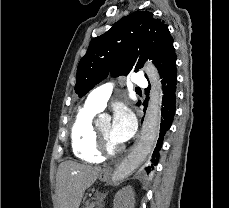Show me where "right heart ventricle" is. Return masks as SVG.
<instances>
[{
	"instance_id": "1",
	"label": "right heart ventricle",
	"mask_w": 229,
	"mask_h": 208,
	"mask_svg": "<svg viewBox=\"0 0 229 208\" xmlns=\"http://www.w3.org/2000/svg\"><path fill=\"white\" fill-rule=\"evenodd\" d=\"M97 113L98 111L84 105L78 111L70 130L72 154L81 162L94 163L102 158V153H96L94 147L95 143H99L92 123Z\"/></svg>"
}]
</instances>
